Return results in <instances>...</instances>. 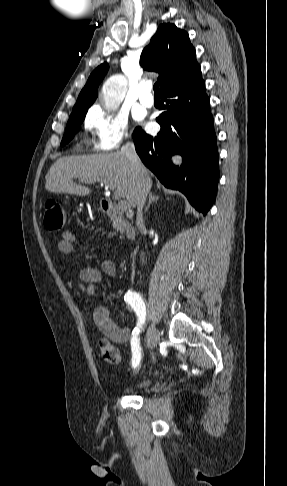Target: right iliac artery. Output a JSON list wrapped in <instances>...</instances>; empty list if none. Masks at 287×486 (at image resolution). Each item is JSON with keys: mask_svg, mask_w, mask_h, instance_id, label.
<instances>
[{"mask_svg": "<svg viewBox=\"0 0 287 486\" xmlns=\"http://www.w3.org/2000/svg\"><path fill=\"white\" fill-rule=\"evenodd\" d=\"M125 302L131 306L138 317L137 327L132 332V366L136 368L141 360V348L138 335L145 322L146 308L143 299L135 291H128L124 296Z\"/></svg>", "mask_w": 287, "mask_h": 486, "instance_id": "1", "label": "right iliac artery"}]
</instances>
